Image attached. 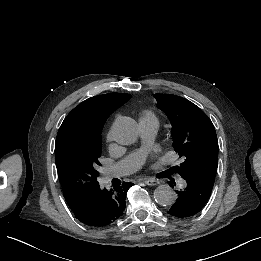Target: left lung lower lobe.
Wrapping results in <instances>:
<instances>
[{
  "instance_id": "left-lung-lower-lobe-1",
  "label": "left lung lower lobe",
  "mask_w": 261,
  "mask_h": 261,
  "mask_svg": "<svg viewBox=\"0 0 261 261\" xmlns=\"http://www.w3.org/2000/svg\"><path fill=\"white\" fill-rule=\"evenodd\" d=\"M185 186L177 191L178 199L168 213L174 217H191L200 212L211 195L213 185L193 175H183ZM175 184V183H174Z\"/></svg>"
}]
</instances>
